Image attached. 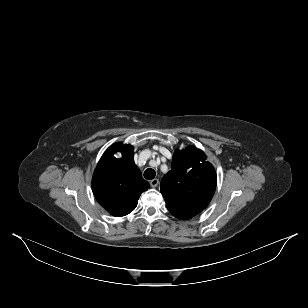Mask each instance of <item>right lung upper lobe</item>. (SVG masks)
<instances>
[{
  "label": "right lung upper lobe",
  "mask_w": 308,
  "mask_h": 308,
  "mask_svg": "<svg viewBox=\"0 0 308 308\" xmlns=\"http://www.w3.org/2000/svg\"><path fill=\"white\" fill-rule=\"evenodd\" d=\"M121 152L122 157L114 155ZM131 145L116 143L101 157L92 178V189L99 204L110 214L121 217L132 212L149 183L134 163Z\"/></svg>",
  "instance_id": "obj_1"
}]
</instances>
